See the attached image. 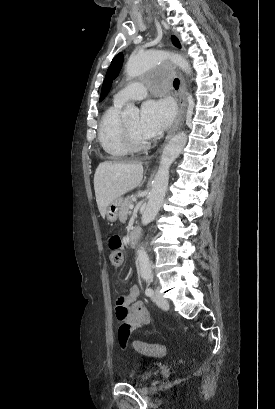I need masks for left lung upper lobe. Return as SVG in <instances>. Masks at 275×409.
I'll use <instances>...</instances> for the list:
<instances>
[{
	"label": "left lung upper lobe",
	"mask_w": 275,
	"mask_h": 409,
	"mask_svg": "<svg viewBox=\"0 0 275 409\" xmlns=\"http://www.w3.org/2000/svg\"><path fill=\"white\" fill-rule=\"evenodd\" d=\"M172 41L173 44L177 47L180 48V43L178 41V39L175 36H172ZM124 60V56L122 54V52H120L119 54H117L112 62L111 65L109 66L107 73H106V77L104 79L103 85H102V90H101V96H100V100L102 101L104 99V97L107 95V93L109 92L111 86H112V82L113 80L118 76L119 71L122 67V63Z\"/></svg>",
	"instance_id": "1"
}]
</instances>
